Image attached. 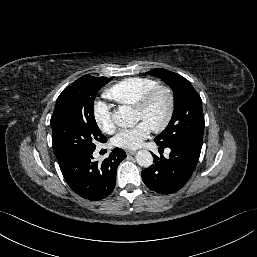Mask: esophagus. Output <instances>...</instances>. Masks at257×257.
Wrapping results in <instances>:
<instances>
[{"mask_svg": "<svg viewBox=\"0 0 257 257\" xmlns=\"http://www.w3.org/2000/svg\"><path fill=\"white\" fill-rule=\"evenodd\" d=\"M126 154H127L128 156H131V155H135L136 152H135V151L127 150V151H126Z\"/></svg>", "mask_w": 257, "mask_h": 257, "instance_id": "1", "label": "esophagus"}]
</instances>
